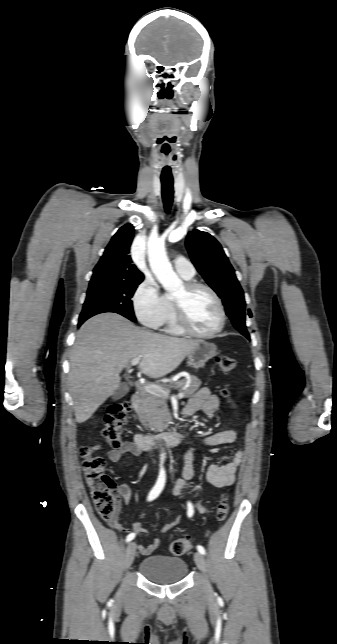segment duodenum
Segmentation results:
<instances>
[{
  "instance_id": "410a0bca",
  "label": "duodenum",
  "mask_w": 337,
  "mask_h": 644,
  "mask_svg": "<svg viewBox=\"0 0 337 644\" xmlns=\"http://www.w3.org/2000/svg\"><path fill=\"white\" fill-rule=\"evenodd\" d=\"M140 395L134 393L131 397V403L135 410L140 406ZM183 441V435L179 430H170L157 435L136 434L134 438L135 445L146 450L155 446H176Z\"/></svg>"
}]
</instances>
